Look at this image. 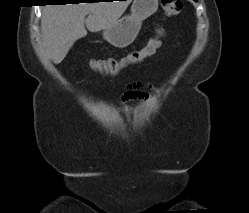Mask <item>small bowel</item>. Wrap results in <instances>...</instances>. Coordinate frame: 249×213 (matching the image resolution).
Returning a JSON list of instances; mask_svg holds the SVG:
<instances>
[{
    "label": "small bowel",
    "mask_w": 249,
    "mask_h": 213,
    "mask_svg": "<svg viewBox=\"0 0 249 213\" xmlns=\"http://www.w3.org/2000/svg\"><path fill=\"white\" fill-rule=\"evenodd\" d=\"M142 60H132L128 65H133L141 62ZM144 85L141 83H134L128 86L127 90L121 97V102L124 105L128 101L149 102L151 94L143 90Z\"/></svg>",
    "instance_id": "c3829d8e"
}]
</instances>
